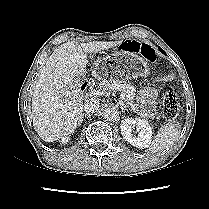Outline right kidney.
I'll use <instances>...</instances> for the list:
<instances>
[{
	"mask_svg": "<svg viewBox=\"0 0 209 209\" xmlns=\"http://www.w3.org/2000/svg\"><path fill=\"white\" fill-rule=\"evenodd\" d=\"M69 140H70V139H69L68 136H63V137L61 138V142H62V143H67Z\"/></svg>",
	"mask_w": 209,
	"mask_h": 209,
	"instance_id": "right-kidney-1",
	"label": "right kidney"
}]
</instances>
